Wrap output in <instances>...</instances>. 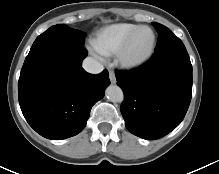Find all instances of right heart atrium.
<instances>
[{
    "label": "right heart atrium",
    "mask_w": 219,
    "mask_h": 174,
    "mask_svg": "<svg viewBox=\"0 0 219 174\" xmlns=\"http://www.w3.org/2000/svg\"><path fill=\"white\" fill-rule=\"evenodd\" d=\"M91 51H92L93 54H96V51H95V50H91Z\"/></svg>",
    "instance_id": "d8ad5b80"
}]
</instances>
